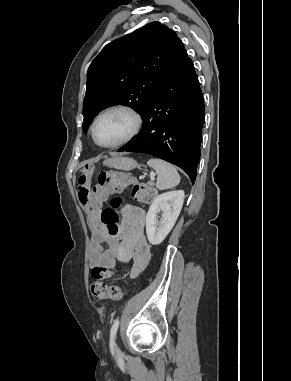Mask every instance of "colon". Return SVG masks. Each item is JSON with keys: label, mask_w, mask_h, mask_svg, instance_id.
I'll list each match as a JSON object with an SVG mask.
<instances>
[{"label": "colon", "mask_w": 291, "mask_h": 381, "mask_svg": "<svg viewBox=\"0 0 291 381\" xmlns=\"http://www.w3.org/2000/svg\"><path fill=\"white\" fill-rule=\"evenodd\" d=\"M86 174L80 175L79 196L84 204L96 205L102 197L111 192L122 191L126 187H130L131 196L135 201L141 203H151L155 196V190L152 186L135 182L122 173L101 172L98 177V183L90 188L86 181ZM120 198H114L111 201V208L102 211L100 220L107 228V232L111 236L118 233L119 215L115 208L121 204ZM91 275L94 282L91 286L93 296L98 299L119 300L121 298V290L118 286H109L106 281L114 275V272L105 266H94Z\"/></svg>", "instance_id": "5ec220e1"}]
</instances>
